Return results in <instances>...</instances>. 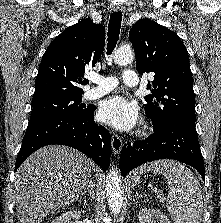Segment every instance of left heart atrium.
<instances>
[{
    "mask_svg": "<svg viewBox=\"0 0 221 223\" xmlns=\"http://www.w3.org/2000/svg\"><path fill=\"white\" fill-rule=\"evenodd\" d=\"M97 117L101 122L117 130L127 131L132 129L138 122V107L124 97L116 95L101 103Z\"/></svg>",
    "mask_w": 221,
    "mask_h": 223,
    "instance_id": "left-heart-atrium-1",
    "label": "left heart atrium"
}]
</instances>
